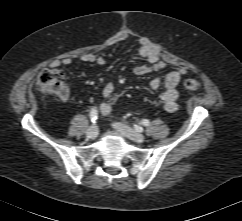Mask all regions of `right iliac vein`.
Listing matches in <instances>:
<instances>
[{
	"instance_id": "right-iliac-vein-1",
	"label": "right iliac vein",
	"mask_w": 242,
	"mask_h": 221,
	"mask_svg": "<svg viewBox=\"0 0 242 221\" xmlns=\"http://www.w3.org/2000/svg\"><path fill=\"white\" fill-rule=\"evenodd\" d=\"M87 137L91 138V139H95L98 135V128L96 125H92L87 129L86 132Z\"/></svg>"
}]
</instances>
